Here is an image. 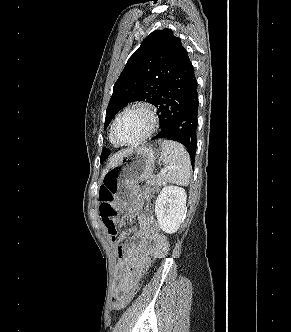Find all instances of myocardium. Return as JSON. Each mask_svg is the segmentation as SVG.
I'll use <instances>...</instances> for the list:
<instances>
[{
	"label": "myocardium",
	"mask_w": 291,
	"mask_h": 332,
	"mask_svg": "<svg viewBox=\"0 0 291 332\" xmlns=\"http://www.w3.org/2000/svg\"><path fill=\"white\" fill-rule=\"evenodd\" d=\"M131 109L144 110L147 113L148 117H149L150 126H149L148 131L143 136H141L140 138H138L136 140H133V141H122L117 136V125H118V122H119L120 118L127 111H129ZM158 127H159V117H158L156 108L148 102L138 101V102H134V103H131V104L127 105L116 116V118L113 122V126H112V135H113L114 140L120 145H126V146L137 145V144H140V143L144 142L148 138H150L157 131Z\"/></svg>",
	"instance_id": "1"
}]
</instances>
